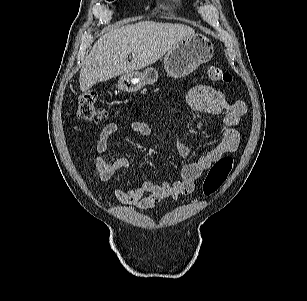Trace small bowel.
Wrapping results in <instances>:
<instances>
[{
	"label": "small bowel",
	"instance_id": "c3829d8e",
	"mask_svg": "<svg viewBox=\"0 0 307 301\" xmlns=\"http://www.w3.org/2000/svg\"><path fill=\"white\" fill-rule=\"evenodd\" d=\"M189 107L197 112L223 115L221 127L223 139L220 144L186 165L181 171V177L174 183H154L145 181L140 186L114 189V198L124 205H133L140 210L153 208L164 199H177L180 195L190 194L195 189L196 181L210 169L214 162L225 154L236 152L240 144V134L236 129L241 117L245 114L247 106L242 101H230L220 92L207 85H197L189 89L186 94ZM120 124L110 122L99 133L97 152L102 155L109 150V139L120 129ZM129 128L143 136L153 134L152 127L143 121H132ZM178 153L185 158L192 155L191 149L178 138L174 140ZM130 167L127 157H118L113 162L106 161L102 156L96 159V168L101 181L110 180L120 170Z\"/></svg>",
	"mask_w": 307,
	"mask_h": 301
}]
</instances>
